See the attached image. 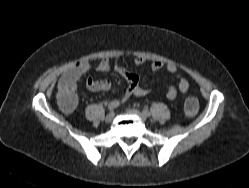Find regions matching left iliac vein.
Returning <instances> with one entry per match:
<instances>
[{
    "instance_id": "4c4485c4",
    "label": "left iliac vein",
    "mask_w": 249,
    "mask_h": 188,
    "mask_svg": "<svg viewBox=\"0 0 249 188\" xmlns=\"http://www.w3.org/2000/svg\"><path fill=\"white\" fill-rule=\"evenodd\" d=\"M127 112L140 117L144 121L147 119V116L144 115L143 113H141L139 110H136V109H127Z\"/></svg>"
}]
</instances>
